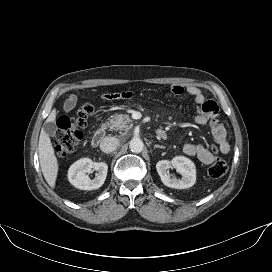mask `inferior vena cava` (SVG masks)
Here are the masks:
<instances>
[{"mask_svg":"<svg viewBox=\"0 0 272 272\" xmlns=\"http://www.w3.org/2000/svg\"><path fill=\"white\" fill-rule=\"evenodd\" d=\"M119 140L116 137H105L100 143V149L104 153H111L117 149Z\"/></svg>","mask_w":272,"mask_h":272,"instance_id":"obj_1","label":"inferior vena cava"}]
</instances>
